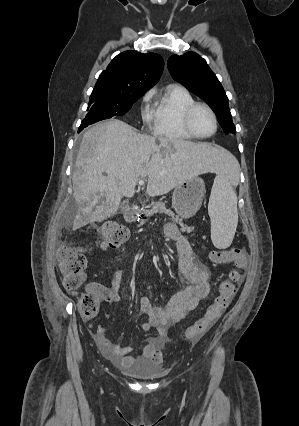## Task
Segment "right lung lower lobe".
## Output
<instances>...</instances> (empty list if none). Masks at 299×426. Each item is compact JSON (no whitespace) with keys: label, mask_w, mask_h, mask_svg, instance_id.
<instances>
[{"label":"right lung lower lobe","mask_w":299,"mask_h":426,"mask_svg":"<svg viewBox=\"0 0 299 426\" xmlns=\"http://www.w3.org/2000/svg\"><path fill=\"white\" fill-rule=\"evenodd\" d=\"M82 130V128L79 127V132Z\"/></svg>","instance_id":"right-lung-lower-lobe-1"}]
</instances>
